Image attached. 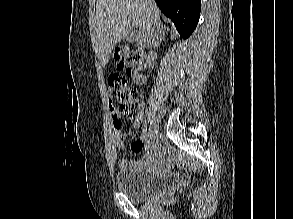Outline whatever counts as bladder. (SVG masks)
Masks as SVG:
<instances>
[{"instance_id": "31cf9c89", "label": "bladder", "mask_w": 293, "mask_h": 219, "mask_svg": "<svg viewBox=\"0 0 293 219\" xmlns=\"http://www.w3.org/2000/svg\"><path fill=\"white\" fill-rule=\"evenodd\" d=\"M168 182L167 177L139 166L123 167L116 173L117 189L132 201H140L161 192Z\"/></svg>"}]
</instances>
